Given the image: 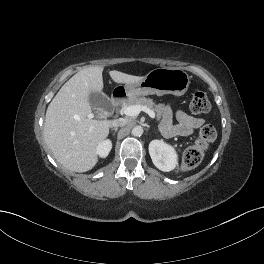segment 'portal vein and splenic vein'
Returning <instances> with one entry per match:
<instances>
[{"instance_id":"obj_1","label":"portal vein and splenic vein","mask_w":264,"mask_h":264,"mask_svg":"<svg viewBox=\"0 0 264 264\" xmlns=\"http://www.w3.org/2000/svg\"><path fill=\"white\" fill-rule=\"evenodd\" d=\"M141 111L146 112L152 119L155 118V112L148 107L132 105L122 109V113L127 116H137ZM92 118V116H89Z\"/></svg>"}]
</instances>
